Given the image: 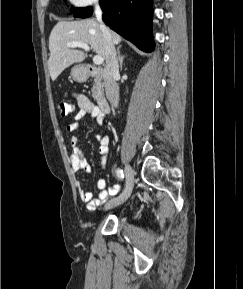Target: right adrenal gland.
<instances>
[{"label":"right adrenal gland","mask_w":243,"mask_h":289,"mask_svg":"<svg viewBox=\"0 0 243 289\" xmlns=\"http://www.w3.org/2000/svg\"><path fill=\"white\" fill-rule=\"evenodd\" d=\"M120 48L121 47H118L117 54H118V60H119L120 69L122 70L123 60H124L125 56L120 54Z\"/></svg>","instance_id":"2a0ac1e0"}]
</instances>
